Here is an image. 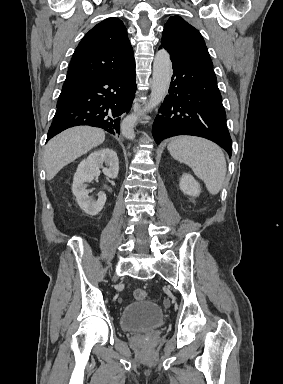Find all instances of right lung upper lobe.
<instances>
[{"instance_id": "right-lung-upper-lobe-1", "label": "right lung upper lobe", "mask_w": 283, "mask_h": 384, "mask_svg": "<svg viewBox=\"0 0 283 384\" xmlns=\"http://www.w3.org/2000/svg\"><path fill=\"white\" fill-rule=\"evenodd\" d=\"M134 66L133 49L123 22L118 18H108L94 26L77 46L62 92Z\"/></svg>"}]
</instances>
